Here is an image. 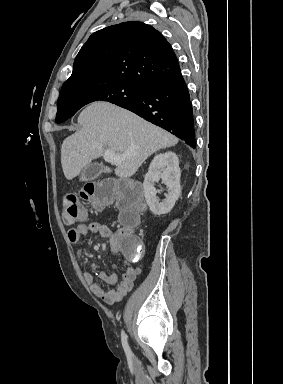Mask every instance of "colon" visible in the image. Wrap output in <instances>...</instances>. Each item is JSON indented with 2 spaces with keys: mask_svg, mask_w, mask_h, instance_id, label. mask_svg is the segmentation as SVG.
<instances>
[{
  "mask_svg": "<svg viewBox=\"0 0 283 384\" xmlns=\"http://www.w3.org/2000/svg\"><path fill=\"white\" fill-rule=\"evenodd\" d=\"M80 195L95 209L116 205L120 211V222L123 226L116 235L117 243L128 260L141 259L144 247L141 240L133 234V227L139 221L142 208V194L139 187L129 181L106 179L85 184ZM62 207L63 221L67 226H73L87 217V211L79 204L74 193L63 196Z\"/></svg>",
  "mask_w": 283,
  "mask_h": 384,
  "instance_id": "5ec220e1",
  "label": "colon"
}]
</instances>
